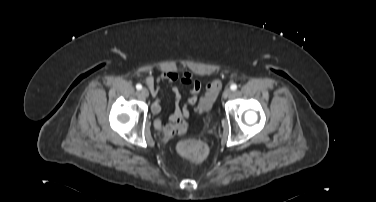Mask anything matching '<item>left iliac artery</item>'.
Masks as SVG:
<instances>
[{"label":"left iliac artery","mask_w":376,"mask_h":202,"mask_svg":"<svg viewBox=\"0 0 376 202\" xmlns=\"http://www.w3.org/2000/svg\"><path fill=\"white\" fill-rule=\"evenodd\" d=\"M230 88H231V90H236L237 89V85L236 84H232L231 86H230Z\"/></svg>","instance_id":"44dca946"}]
</instances>
